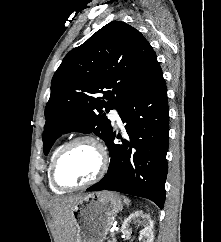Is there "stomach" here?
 Wrapping results in <instances>:
<instances>
[{"mask_svg":"<svg viewBox=\"0 0 221 242\" xmlns=\"http://www.w3.org/2000/svg\"><path fill=\"white\" fill-rule=\"evenodd\" d=\"M122 208L121 198L113 192L85 195L72 208L76 242H103Z\"/></svg>","mask_w":221,"mask_h":242,"instance_id":"obj_1","label":"stomach"}]
</instances>
